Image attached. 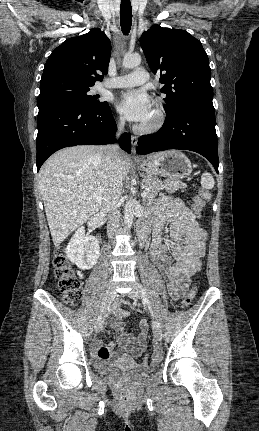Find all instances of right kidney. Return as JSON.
Listing matches in <instances>:
<instances>
[{
	"label": "right kidney",
	"instance_id": "1",
	"mask_svg": "<svg viewBox=\"0 0 259 431\" xmlns=\"http://www.w3.org/2000/svg\"><path fill=\"white\" fill-rule=\"evenodd\" d=\"M99 252L97 238L86 236L83 226L78 228L66 248L69 260L82 270L91 269L97 263Z\"/></svg>",
	"mask_w": 259,
	"mask_h": 431
}]
</instances>
